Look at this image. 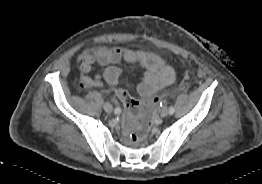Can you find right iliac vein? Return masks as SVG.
<instances>
[{
    "mask_svg": "<svg viewBox=\"0 0 262 184\" xmlns=\"http://www.w3.org/2000/svg\"><path fill=\"white\" fill-rule=\"evenodd\" d=\"M103 108L107 113H111L113 111V106L108 102L104 103Z\"/></svg>",
    "mask_w": 262,
    "mask_h": 184,
    "instance_id": "obj_1",
    "label": "right iliac vein"
}]
</instances>
